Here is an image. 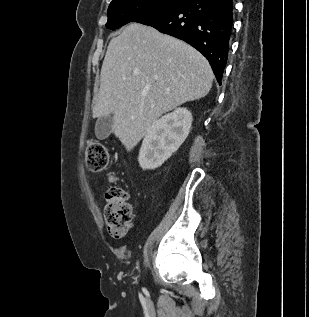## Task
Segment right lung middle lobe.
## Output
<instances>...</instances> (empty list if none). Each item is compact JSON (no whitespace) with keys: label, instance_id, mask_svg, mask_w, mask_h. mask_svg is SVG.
<instances>
[{"label":"right lung middle lobe","instance_id":"right-lung-middle-lobe-1","mask_svg":"<svg viewBox=\"0 0 309 317\" xmlns=\"http://www.w3.org/2000/svg\"><path fill=\"white\" fill-rule=\"evenodd\" d=\"M184 1L185 0H112L108 8L106 27L115 30L142 15L171 7Z\"/></svg>","mask_w":309,"mask_h":317}]
</instances>
